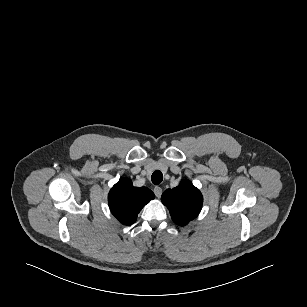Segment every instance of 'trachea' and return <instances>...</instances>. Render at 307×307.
<instances>
[{
	"instance_id": "3493384b",
	"label": "trachea",
	"mask_w": 307,
	"mask_h": 307,
	"mask_svg": "<svg viewBox=\"0 0 307 307\" xmlns=\"http://www.w3.org/2000/svg\"><path fill=\"white\" fill-rule=\"evenodd\" d=\"M151 180H152L153 184L159 185L163 180L162 172H160V171L153 172V174L151 176Z\"/></svg>"
}]
</instances>
